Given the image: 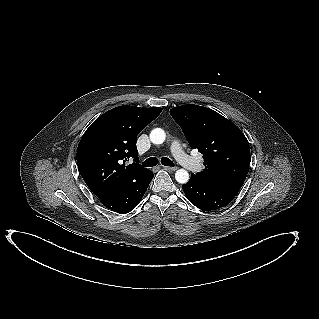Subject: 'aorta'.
Wrapping results in <instances>:
<instances>
[{"label": "aorta", "instance_id": "762f6f07", "mask_svg": "<svg viewBox=\"0 0 319 319\" xmlns=\"http://www.w3.org/2000/svg\"><path fill=\"white\" fill-rule=\"evenodd\" d=\"M166 133L161 128H155L150 133V140L153 144H162L165 141ZM175 179L180 184L189 181V173L185 169H179L175 173Z\"/></svg>", "mask_w": 319, "mask_h": 319}]
</instances>
